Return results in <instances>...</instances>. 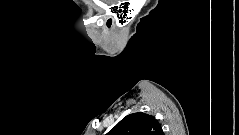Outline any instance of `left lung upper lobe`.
<instances>
[{
    "label": "left lung upper lobe",
    "instance_id": "obj_1",
    "mask_svg": "<svg viewBox=\"0 0 239 135\" xmlns=\"http://www.w3.org/2000/svg\"><path fill=\"white\" fill-rule=\"evenodd\" d=\"M108 135H163V130L155 117L137 112L124 117Z\"/></svg>",
    "mask_w": 239,
    "mask_h": 135
}]
</instances>
